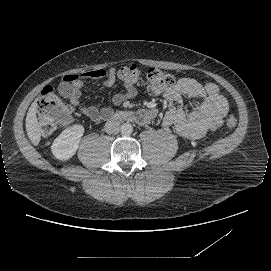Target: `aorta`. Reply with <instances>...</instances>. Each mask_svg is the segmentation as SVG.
<instances>
[{
    "instance_id": "1",
    "label": "aorta",
    "mask_w": 271,
    "mask_h": 271,
    "mask_svg": "<svg viewBox=\"0 0 271 271\" xmlns=\"http://www.w3.org/2000/svg\"><path fill=\"white\" fill-rule=\"evenodd\" d=\"M133 132V126L130 123H124L121 126V133L123 135H131Z\"/></svg>"
}]
</instances>
